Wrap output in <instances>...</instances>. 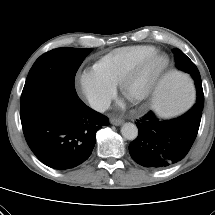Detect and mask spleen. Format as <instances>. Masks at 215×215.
I'll list each match as a JSON object with an SVG mask.
<instances>
[{
    "label": "spleen",
    "mask_w": 215,
    "mask_h": 215,
    "mask_svg": "<svg viewBox=\"0 0 215 215\" xmlns=\"http://www.w3.org/2000/svg\"><path fill=\"white\" fill-rule=\"evenodd\" d=\"M198 80L191 73H170L155 88V106L162 115L191 110L196 104Z\"/></svg>",
    "instance_id": "obj_1"
}]
</instances>
